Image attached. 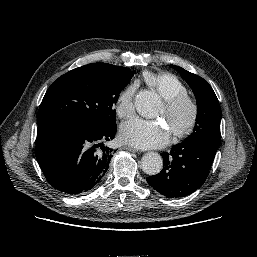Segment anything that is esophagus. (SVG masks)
<instances>
[{
  "label": "esophagus",
  "instance_id": "esophagus-1",
  "mask_svg": "<svg viewBox=\"0 0 257 257\" xmlns=\"http://www.w3.org/2000/svg\"><path fill=\"white\" fill-rule=\"evenodd\" d=\"M124 149L127 151H130V152H137V149L130 147V146H125Z\"/></svg>",
  "mask_w": 257,
  "mask_h": 257
}]
</instances>
